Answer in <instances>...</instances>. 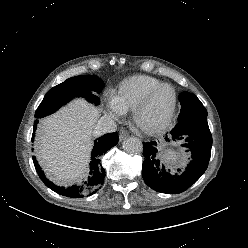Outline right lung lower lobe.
I'll return each mask as SVG.
<instances>
[{"instance_id": "98d812e1", "label": "right lung lower lobe", "mask_w": 248, "mask_h": 248, "mask_svg": "<svg viewBox=\"0 0 248 248\" xmlns=\"http://www.w3.org/2000/svg\"><path fill=\"white\" fill-rule=\"evenodd\" d=\"M37 123L38 121L36 120L34 123V130L36 129ZM34 136L35 135L33 134L32 141L34 139ZM117 143V133H109L95 140L94 149L91 156L89 175L86 181L83 182L81 186L74 185L67 189L58 187L45 177L35 157H33L34 166L39 177L47 187L60 195L72 198H82L85 195H92L102 186L105 178V170L101 166L100 158L106 151L110 150Z\"/></svg>"}]
</instances>
